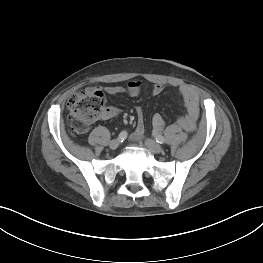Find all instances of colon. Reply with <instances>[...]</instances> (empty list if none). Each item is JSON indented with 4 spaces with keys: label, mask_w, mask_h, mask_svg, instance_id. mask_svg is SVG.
<instances>
[{
    "label": "colon",
    "mask_w": 263,
    "mask_h": 263,
    "mask_svg": "<svg viewBox=\"0 0 263 263\" xmlns=\"http://www.w3.org/2000/svg\"><path fill=\"white\" fill-rule=\"evenodd\" d=\"M105 97L94 87L74 93L68 101L71 114V130L74 134L87 132L90 124L101 117L105 108Z\"/></svg>",
    "instance_id": "5ec220e1"
}]
</instances>
